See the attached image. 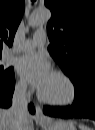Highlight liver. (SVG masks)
<instances>
[{"mask_svg": "<svg viewBox=\"0 0 95 130\" xmlns=\"http://www.w3.org/2000/svg\"><path fill=\"white\" fill-rule=\"evenodd\" d=\"M15 120L10 114L9 109H0V130H34L32 117L28 114L21 122L19 128L16 129Z\"/></svg>", "mask_w": 95, "mask_h": 130, "instance_id": "obj_1", "label": "liver"}]
</instances>
